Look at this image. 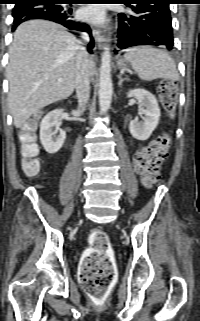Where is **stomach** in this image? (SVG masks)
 <instances>
[{"instance_id": "1", "label": "stomach", "mask_w": 200, "mask_h": 321, "mask_svg": "<svg viewBox=\"0 0 200 321\" xmlns=\"http://www.w3.org/2000/svg\"><path fill=\"white\" fill-rule=\"evenodd\" d=\"M117 65L122 70L127 69L129 67V63L126 59H119Z\"/></svg>"}]
</instances>
